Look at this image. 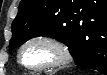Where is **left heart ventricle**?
I'll list each match as a JSON object with an SVG mask.
<instances>
[{
	"label": "left heart ventricle",
	"mask_w": 107,
	"mask_h": 75,
	"mask_svg": "<svg viewBox=\"0 0 107 75\" xmlns=\"http://www.w3.org/2000/svg\"><path fill=\"white\" fill-rule=\"evenodd\" d=\"M57 53L48 45L35 43L28 46L23 52V60L31 66L51 63L57 59Z\"/></svg>",
	"instance_id": "left-heart-ventricle-1"
}]
</instances>
